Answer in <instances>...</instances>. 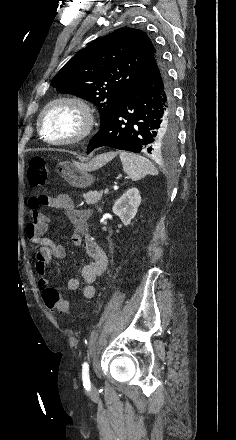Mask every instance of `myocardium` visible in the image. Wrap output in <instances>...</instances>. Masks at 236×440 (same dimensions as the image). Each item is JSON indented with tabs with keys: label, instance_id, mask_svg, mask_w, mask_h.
<instances>
[{
	"label": "myocardium",
	"instance_id": "obj_1",
	"mask_svg": "<svg viewBox=\"0 0 236 440\" xmlns=\"http://www.w3.org/2000/svg\"><path fill=\"white\" fill-rule=\"evenodd\" d=\"M65 105L73 109L80 118L78 132L68 138L51 139L45 136L44 120L47 113L54 107ZM96 125V115L92 105L84 98L75 95H60L50 100L42 109L38 116V128L43 140L47 143L70 146L80 143L87 139L93 132Z\"/></svg>",
	"mask_w": 236,
	"mask_h": 440
}]
</instances>
